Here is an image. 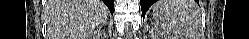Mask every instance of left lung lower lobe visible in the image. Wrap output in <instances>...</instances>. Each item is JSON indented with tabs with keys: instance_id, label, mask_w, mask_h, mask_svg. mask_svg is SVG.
Returning a JSON list of instances; mask_svg holds the SVG:
<instances>
[{
	"instance_id": "1",
	"label": "left lung lower lobe",
	"mask_w": 249,
	"mask_h": 39,
	"mask_svg": "<svg viewBox=\"0 0 249 39\" xmlns=\"http://www.w3.org/2000/svg\"><path fill=\"white\" fill-rule=\"evenodd\" d=\"M156 0H141V9H142V14L143 18L146 14V11L148 8L155 2Z\"/></svg>"
}]
</instances>
